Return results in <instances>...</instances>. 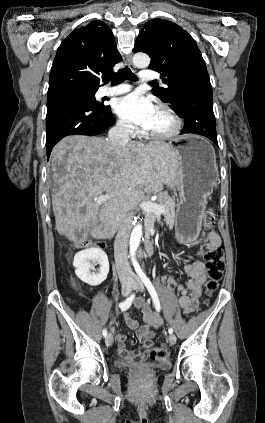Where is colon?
<instances>
[{
    "label": "colon",
    "instance_id": "colon-1",
    "mask_svg": "<svg viewBox=\"0 0 265 423\" xmlns=\"http://www.w3.org/2000/svg\"><path fill=\"white\" fill-rule=\"evenodd\" d=\"M215 222V214L212 210H208L205 214V225L211 227ZM102 247L101 243L97 244ZM206 265V273L208 280L206 282L207 295L212 294L218 287V283L222 278L225 270L224 254L219 246H209L204 255ZM204 305H208V300H204ZM150 359L156 362H164L169 355V349L166 343H161L149 350Z\"/></svg>",
    "mask_w": 265,
    "mask_h": 423
}]
</instances>
